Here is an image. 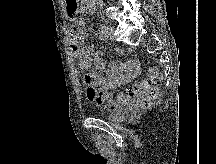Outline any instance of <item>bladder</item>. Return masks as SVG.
<instances>
[{"label":"bladder","mask_w":216,"mask_h":164,"mask_svg":"<svg viewBox=\"0 0 216 164\" xmlns=\"http://www.w3.org/2000/svg\"><path fill=\"white\" fill-rule=\"evenodd\" d=\"M128 111V106H118L106 116V120L112 123H120L126 118Z\"/></svg>","instance_id":"1"}]
</instances>
